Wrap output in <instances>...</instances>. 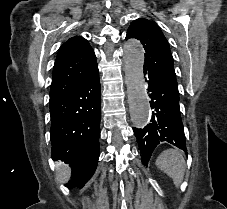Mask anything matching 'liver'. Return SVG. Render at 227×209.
<instances>
[{"mask_svg":"<svg viewBox=\"0 0 227 209\" xmlns=\"http://www.w3.org/2000/svg\"><path fill=\"white\" fill-rule=\"evenodd\" d=\"M60 177H64V175H66V173H68L69 169L68 167H66V165H57L56 167ZM63 181V179H62Z\"/></svg>","mask_w":227,"mask_h":209,"instance_id":"1","label":"liver"}]
</instances>
